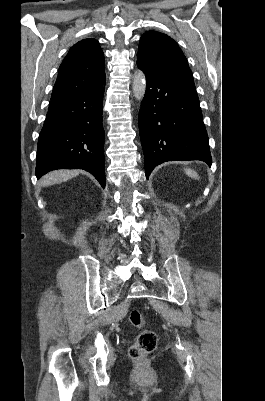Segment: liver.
<instances>
[{
    "mask_svg": "<svg viewBox=\"0 0 265 401\" xmlns=\"http://www.w3.org/2000/svg\"><path fill=\"white\" fill-rule=\"evenodd\" d=\"M79 170H53L49 174L43 176L41 182L43 186H50V184H60V182H65V180H70L73 176H77Z\"/></svg>",
    "mask_w": 265,
    "mask_h": 401,
    "instance_id": "6515ba94",
    "label": "liver"
}]
</instances>
